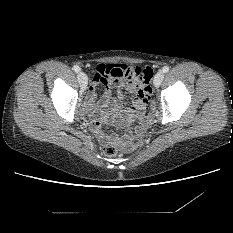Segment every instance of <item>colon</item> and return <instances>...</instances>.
Segmentation results:
<instances>
[{
	"mask_svg": "<svg viewBox=\"0 0 233 233\" xmlns=\"http://www.w3.org/2000/svg\"><path fill=\"white\" fill-rule=\"evenodd\" d=\"M142 72L145 75V77L148 79V82L152 79L154 75V70L152 69V67L149 66L143 68ZM141 76H142L141 73L139 75H135L131 70H126V72L123 74V78L128 80H135L136 77L140 78ZM150 93H151V89L149 86L141 88L138 90L136 94V100L139 102L147 101L150 96ZM103 152L108 156H115L118 154V149L114 145H107L103 148Z\"/></svg>",
	"mask_w": 233,
	"mask_h": 233,
	"instance_id": "colon-1",
	"label": "colon"
}]
</instances>
